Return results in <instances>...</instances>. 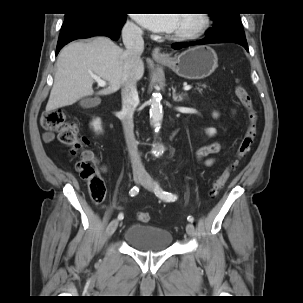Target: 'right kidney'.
<instances>
[{
	"label": "right kidney",
	"mask_w": 303,
	"mask_h": 303,
	"mask_svg": "<svg viewBox=\"0 0 303 303\" xmlns=\"http://www.w3.org/2000/svg\"><path fill=\"white\" fill-rule=\"evenodd\" d=\"M92 125H93V127L96 131L101 130V121H100V119L94 120Z\"/></svg>",
	"instance_id": "1"
}]
</instances>
